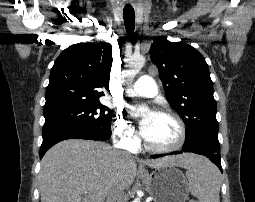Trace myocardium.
Here are the masks:
<instances>
[{
	"label": "myocardium",
	"mask_w": 255,
	"mask_h": 202,
	"mask_svg": "<svg viewBox=\"0 0 255 202\" xmlns=\"http://www.w3.org/2000/svg\"><path fill=\"white\" fill-rule=\"evenodd\" d=\"M155 113L159 114V115L171 117L176 122V124L178 126V131H179L178 139L174 144H172L170 146L158 147V146H154V145L150 144L146 140L144 135L141 134V138H142L144 147L148 151H151L154 153H170V152H174V151L180 149L184 145V143L186 141V137H187V130H186V126H185L183 119L176 112L169 110V109H161V110L156 111Z\"/></svg>",
	"instance_id": "myocardium-1"
}]
</instances>
